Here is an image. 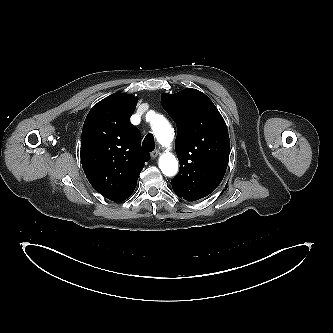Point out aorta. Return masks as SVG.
<instances>
[{
    "label": "aorta",
    "instance_id": "aorta-1",
    "mask_svg": "<svg viewBox=\"0 0 333 333\" xmlns=\"http://www.w3.org/2000/svg\"><path fill=\"white\" fill-rule=\"evenodd\" d=\"M151 124L157 141L162 146L168 147L174 138L173 129L169 122L158 115L152 120ZM159 168L164 175L174 176L178 171V161L172 153L166 152L159 158Z\"/></svg>",
    "mask_w": 333,
    "mask_h": 333
}]
</instances>
